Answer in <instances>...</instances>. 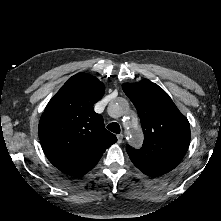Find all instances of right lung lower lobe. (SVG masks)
<instances>
[{
  "label": "right lung lower lobe",
  "instance_id": "obj_1",
  "mask_svg": "<svg viewBox=\"0 0 221 221\" xmlns=\"http://www.w3.org/2000/svg\"><path fill=\"white\" fill-rule=\"evenodd\" d=\"M100 158L101 156L87 158L58 169L71 176H82L90 171L98 163Z\"/></svg>",
  "mask_w": 221,
  "mask_h": 221
}]
</instances>
